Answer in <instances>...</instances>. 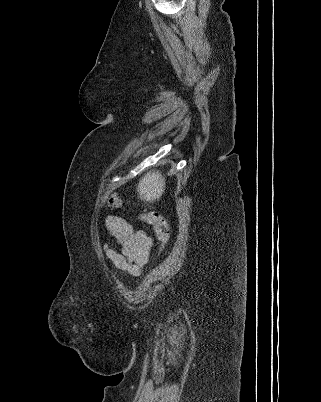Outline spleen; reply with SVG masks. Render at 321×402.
Wrapping results in <instances>:
<instances>
[{
  "instance_id": "1",
  "label": "spleen",
  "mask_w": 321,
  "mask_h": 402,
  "mask_svg": "<svg viewBox=\"0 0 321 402\" xmlns=\"http://www.w3.org/2000/svg\"><path fill=\"white\" fill-rule=\"evenodd\" d=\"M165 190V178L161 172H148L140 180L137 186V192L141 200L153 202L159 199Z\"/></svg>"
}]
</instances>
